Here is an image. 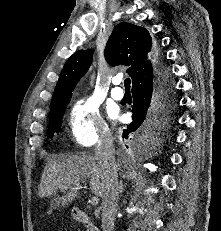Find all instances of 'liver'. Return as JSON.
Returning a JSON list of instances; mask_svg holds the SVG:
<instances>
[{"label": "liver", "mask_w": 221, "mask_h": 231, "mask_svg": "<svg viewBox=\"0 0 221 231\" xmlns=\"http://www.w3.org/2000/svg\"><path fill=\"white\" fill-rule=\"evenodd\" d=\"M104 179L103 170L95 156L86 153L59 154L47 163L38 196L40 198L54 196L55 208H59L60 204L66 207L78 196L79 187L86 182H89L92 193L102 197ZM58 189L64 192L62 197L56 195Z\"/></svg>", "instance_id": "liver-1"}]
</instances>
